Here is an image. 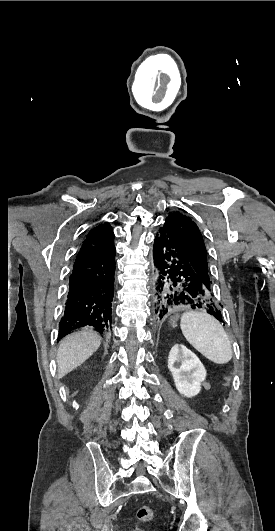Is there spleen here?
<instances>
[{
    "label": "spleen",
    "mask_w": 275,
    "mask_h": 531,
    "mask_svg": "<svg viewBox=\"0 0 275 531\" xmlns=\"http://www.w3.org/2000/svg\"><path fill=\"white\" fill-rule=\"evenodd\" d=\"M180 329L188 343L217 365L232 359L233 351L223 325L204 311H186L181 315Z\"/></svg>",
    "instance_id": "obj_1"
}]
</instances>
